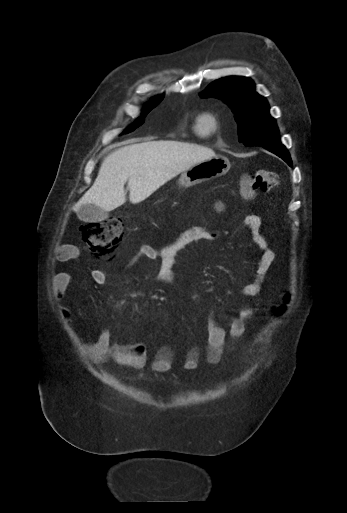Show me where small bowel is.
I'll return each mask as SVG.
<instances>
[{
    "label": "small bowel",
    "instance_id": "c3829d8e",
    "mask_svg": "<svg viewBox=\"0 0 347 513\" xmlns=\"http://www.w3.org/2000/svg\"><path fill=\"white\" fill-rule=\"evenodd\" d=\"M208 221L203 219V224L192 226L182 232L174 241L167 244L160 251H155L149 246H141L135 256L129 261L127 267L131 268L140 263L160 261L158 271L159 279L173 287L175 285V276L173 266L177 254L187 245L201 240H217L219 232L207 228ZM262 220L258 215L249 214L245 216L243 225L249 230L251 239L260 252L257 262L255 278L242 286L239 291L245 297H257L261 290V285L265 279L266 273L275 259L274 251L269 247L266 237L261 231ZM74 247L63 246L57 250V260L67 261L73 257ZM91 278L94 283L102 285L106 282V274L101 269L92 270ZM72 278L67 272H58L52 278V291L56 297L62 296L71 285ZM256 312V304L252 306L243 305L235 310L227 327L220 325L216 315L211 317L208 323V334L206 338L205 357L209 364H218L224 353L226 339H236L241 337L246 330V322L253 318ZM67 314V310H64ZM83 353L87 360L92 363L100 364L108 360H113L121 367L140 370L148 362L146 346L143 342L130 344L113 343L110 332L107 328L101 330L97 339L93 342L83 344ZM201 351L199 348L190 349L183 361V369L195 370L199 366ZM173 353L169 347H164L153 356L152 370L156 373H164L172 368Z\"/></svg>",
    "mask_w": 347,
    "mask_h": 513
}]
</instances>
